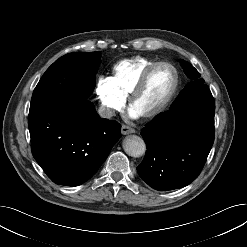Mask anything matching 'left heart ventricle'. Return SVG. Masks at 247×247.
Segmentation results:
<instances>
[{
  "mask_svg": "<svg viewBox=\"0 0 247 247\" xmlns=\"http://www.w3.org/2000/svg\"><path fill=\"white\" fill-rule=\"evenodd\" d=\"M174 83V72L167 66L156 68L142 92L133 101L132 109L140 116L158 107L167 97Z\"/></svg>",
  "mask_w": 247,
  "mask_h": 247,
  "instance_id": "obj_1",
  "label": "left heart ventricle"
}]
</instances>
